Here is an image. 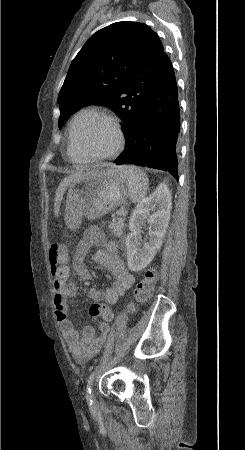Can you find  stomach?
<instances>
[{"label": "stomach", "instance_id": "1", "mask_svg": "<svg viewBox=\"0 0 245 450\" xmlns=\"http://www.w3.org/2000/svg\"><path fill=\"white\" fill-rule=\"evenodd\" d=\"M128 184L118 167L97 169L75 179L69 186L64 219L75 230L83 217L95 220L115 210L128 196Z\"/></svg>", "mask_w": 245, "mask_h": 450}]
</instances>
